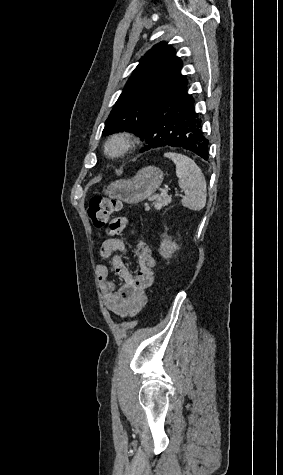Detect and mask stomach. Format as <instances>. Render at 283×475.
<instances>
[{
  "label": "stomach",
  "mask_w": 283,
  "mask_h": 475,
  "mask_svg": "<svg viewBox=\"0 0 283 475\" xmlns=\"http://www.w3.org/2000/svg\"><path fill=\"white\" fill-rule=\"evenodd\" d=\"M164 174L160 168L147 166L137 172L131 180H117L107 186L106 196L114 200H122L126 204H139L146 198H150L161 186Z\"/></svg>",
  "instance_id": "0dacf381"
}]
</instances>
